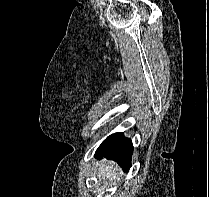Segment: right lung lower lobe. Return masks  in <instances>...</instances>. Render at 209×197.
Returning a JSON list of instances; mask_svg holds the SVG:
<instances>
[{"label": "right lung lower lobe", "mask_w": 209, "mask_h": 197, "mask_svg": "<svg viewBox=\"0 0 209 197\" xmlns=\"http://www.w3.org/2000/svg\"><path fill=\"white\" fill-rule=\"evenodd\" d=\"M133 145L131 140L125 138L122 133H114L106 138L98 147L95 157H107L117 163L126 171L131 166Z\"/></svg>", "instance_id": "right-lung-lower-lobe-1"}]
</instances>
